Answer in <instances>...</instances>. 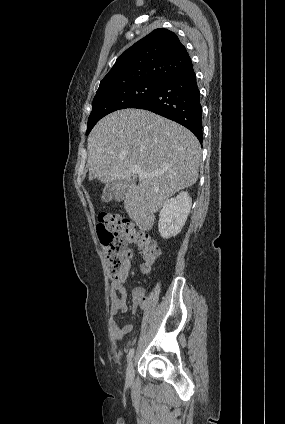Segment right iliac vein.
Instances as JSON below:
<instances>
[{"mask_svg": "<svg viewBox=\"0 0 285 424\" xmlns=\"http://www.w3.org/2000/svg\"><path fill=\"white\" fill-rule=\"evenodd\" d=\"M133 379H134V366H133V361H131L126 369V381L128 383H132Z\"/></svg>", "mask_w": 285, "mask_h": 424, "instance_id": "1", "label": "right iliac vein"}]
</instances>
